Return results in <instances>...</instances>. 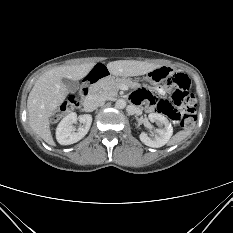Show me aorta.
Segmentation results:
<instances>
[{"label": "aorta", "mask_w": 233, "mask_h": 233, "mask_svg": "<svg viewBox=\"0 0 233 233\" xmlns=\"http://www.w3.org/2000/svg\"><path fill=\"white\" fill-rule=\"evenodd\" d=\"M117 109H124L126 107V101L124 99H118L115 103Z\"/></svg>", "instance_id": "obj_1"}]
</instances>
